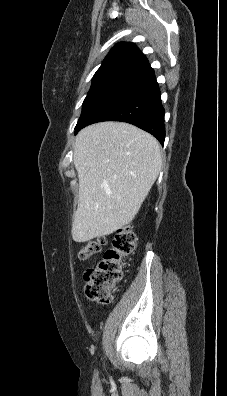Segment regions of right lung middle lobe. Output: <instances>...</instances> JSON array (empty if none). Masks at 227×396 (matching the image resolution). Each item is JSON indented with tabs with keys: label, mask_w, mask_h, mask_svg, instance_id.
I'll use <instances>...</instances> for the list:
<instances>
[{
	"label": "right lung middle lobe",
	"mask_w": 227,
	"mask_h": 396,
	"mask_svg": "<svg viewBox=\"0 0 227 396\" xmlns=\"http://www.w3.org/2000/svg\"><path fill=\"white\" fill-rule=\"evenodd\" d=\"M132 73L133 71L125 69H114L95 73L91 88L83 102L82 113L76 127Z\"/></svg>",
	"instance_id": "dd1d6c3e"
}]
</instances>
